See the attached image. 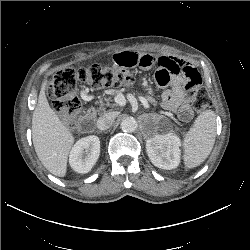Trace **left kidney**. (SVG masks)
<instances>
[{"instance_id": "1", "label": "left kidney", "mask_w": 250, "mask_h": 250, "mask_svg": "<svg viewBox=\"0 0 250 250\" xmlns=\"http://www.w3.org/2000/svg\"><path fill=\"white\" fill-rule=\"evenodd\" d=\"M181 140L173 132L156 135L146 142V150L151 162L158 168L171 170L180 164Z\"/></svg>"}]
</instances>
